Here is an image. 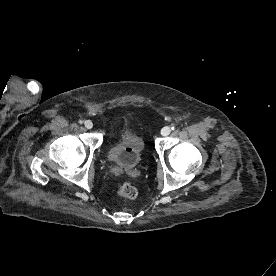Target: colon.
Segmentation results:
<instances>
[{
  "label": "colon",
  "instance_id": "obj_1",
  "mask_svg": "<svg viewBox=\"0 0 276 276\" xmlns=\"http://www.w3.org/2000/svg\"><path fill=\"white\" fill-rule=\"evenodd\" d=\"M118 193L124 198L134 199L138 195V190L133 184L124 182L119 186Z\"/></svg>",
  "mask_w": 276,
  "mask_h": 276
}]
</instances>
